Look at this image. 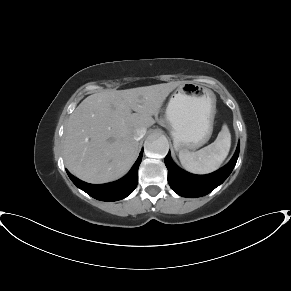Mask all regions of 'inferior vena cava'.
Masks as SVG:
<instances>
[{
	"label": "inferior vena cava",
	"instance_id": "inferior-vena-cava-1",
	"mask_svg": "<svg viewBox=\"0 0 291 291\" xmlns=\"http://www.w3.org/2000/svg\"><path fill=\"white\" fill-rule=\"evenodd\" d=\"M146 133V129L145 128H138L134 131V139L139 141L141 138H143V136L145 135Z\"/></svg>",
	"mask_w": 291,
	"mask_h": 291
}]
</instances>
